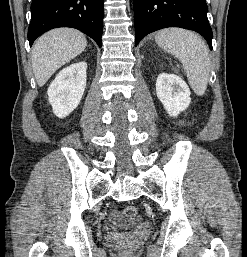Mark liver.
Returning a JSON list of instances; mask_svg holds the SVG:
<instances>
[{
    "mask_svg": "<svg viewBox=\"0 0 247 257\" xmlns=\"http://www.w3.org/2000/svg\"><path fill=\"white\" fill-rule=\"evenodd\" d=\"M87 46L83 33L72 28L53 29L40 36L32 50V67L42 87L65 63L81 54Z\"/></svg>",
    "mask_w": 247,
    "mask_h": 257,
    "instance_id": "obj_1",
    "label": "liver"
}]
</instances>
